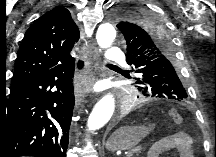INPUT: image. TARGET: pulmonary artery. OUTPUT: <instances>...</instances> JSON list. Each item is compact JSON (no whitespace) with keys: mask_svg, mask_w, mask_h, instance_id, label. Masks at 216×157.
<instances>
[{"mask_svg":"<svg viewBox=\"0 0 216 157\" xmlns=\"http://www.w3.org/2000/svg\"><path fill=\"white\" fill-rule=\"evenodd\" d=\"M105 57L108 60L117 61L124 58V53L119 49L112 47L106 52Z\"/></svg>","mask_w":216,"mask_h":157,"instance_id":"e3ab8cb5","label":"pulmonary artery"}]
</instances>
